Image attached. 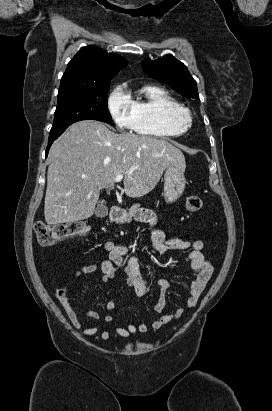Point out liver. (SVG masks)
I'll list each match as a JSON object with an SVG mask.
<instances>
[{"mask_svg":"<svg viewBox=\"0 0 272 411\" xmlns=\"http://www.w3.org/2000/svg\"><path fill=\"white\" fill-rule=\"evenodd\" d=\"M44 202L49 225L90 218L100 190L124 175L125 194L138 198L152 191L170 165L184 172L185 157L166 140L116 134L97 121L72 124L51 146Z\"/></svg>","mask_w":272,"mask_h":411,"instance_id":"liver-1","label":"liver"}]
</instances>
